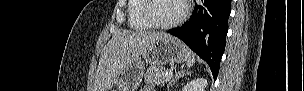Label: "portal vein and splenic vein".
Instances as JSON below:
<instances>
[{"mask_svg": "<svg viewBox=\"0 0 304 91\" xmlns=\"http://www.w3.org/2000/svg\"><path fill=\"white\" fill-rule=\"evenodd\" d=\"M172 75H173L172 71L166 73V80L168 81L172 77Z\"/></svg>", "mask_w": 304, "mask_h": 91, "instance_id": "portal-vein-and-splenic-vein-1", "label": "portal vein and splenic vein"}]
</instances>
